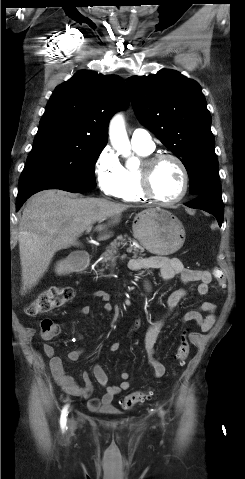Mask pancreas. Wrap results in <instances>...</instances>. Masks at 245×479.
<instances>
[{"label":"pancreas","instance_id":"obj_1","mask_svg":"<svg viewBox=\"0 0 245 479\" xmlns=\"http://www.w3.org/2000/svg\"><path fill=\"white\" fill-rule=\"evenodd\" d=\"M126 238L129 240V242L137 244L136 240L128 237L127 235L117 236V238L113 242L110 243V245L106 248L105 252L102 254L101 263L103 264V266H105V268H108L109 262L112 261L113 258L115 257V255L118 251V247L125 246L127 244L126 243ZM127 251L128 252L134 251L133 252V257L136 258L138 256V253L142 252V249L139 250L135 245L130 244V247L128 248ZM103 271H104V269H100L99 270L100 274H102Z\"/></svg>","mask_w":245,"mask_h":479}]
</instances>
